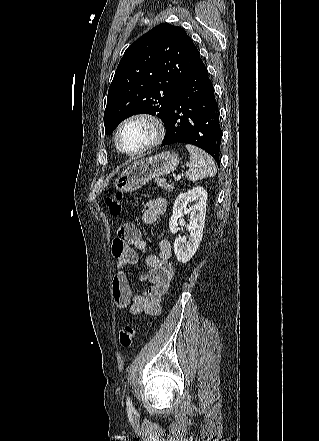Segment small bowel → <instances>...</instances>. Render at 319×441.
<instances>
[{
  "label": "small bowel",
  "instance_id": "c3829d8e",
  "mask_svg": "<svg viewBox=\"0 0 319 441\" xmlns=\"http://www.w3.org/2000/svg\"><path fill=\"white\" fill-rule=\"evenodd\" d=\"M167 202L164 198H153L144 203L142 221L154 225L159 216L164 214ZM118 237L113 241L112 252L116 258L117 274L112 281V297L117 309L129 308L133 315H158L161 313L162 296L167 292L174 276V269L169 262L171 246L168 240L161 239L157 254H146L148 271L142 280L150 286L141 294L131 290L126 270L138 262V252L146 253V243L142 233L134 223H125L118 228Z\"/></svg>",
  "mask_w": 319,
  "mask_h": 441
}]
</instances>
